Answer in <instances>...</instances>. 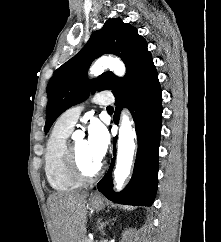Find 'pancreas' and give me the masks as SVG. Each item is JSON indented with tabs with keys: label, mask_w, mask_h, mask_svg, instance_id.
<instances>
[{
	"label": "pancreas",
	"mask_w": 221,
	"mask_h": 242,
	"mask_svg": "<svg viewBox=\"0 0 221 242\" xmlns=\"http://www.w3.org/2000/svg\"><path fill=\"white\" fill-rule=\"evenodd\" d=\"M83 242H93L89 237H85Z\"/></svg>",
	"instance_id": "pancreas-1"
}]
</instances>
